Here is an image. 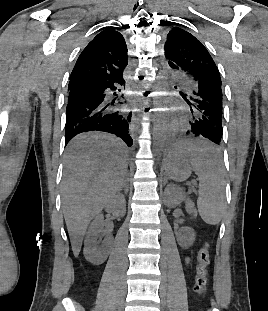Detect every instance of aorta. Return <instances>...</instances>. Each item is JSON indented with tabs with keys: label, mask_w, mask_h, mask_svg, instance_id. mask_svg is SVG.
<instances>
[{
	"label": "aorta",
	"mask_w": 268,
	"mask_h": 311,
	"mask_svg": "<svg viewBox=\"0 0 268 311\" xmlns=\"http://www.w3.org/2000/svg\"><path fill=\"white\" fill-rule=\"evenodd\" d=\"M155 79L152 90L154 92V135L153 153L156 158H160L167 138V89L166 79L168 73L162 65L156 66Z\"/></svg>",
	"instance_id": "aorta-1"
}]
</instances>
